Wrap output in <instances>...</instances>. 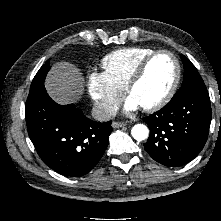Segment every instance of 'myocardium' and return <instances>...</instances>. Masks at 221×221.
I'll use <instances>...</instances> for the list:
<instances>
[{
  "label": "myocardium",
  "mask_w": 221,
  "mask_h": 221,
  "mask_svg": "<svg viewBox=\"0 0 221 221\" xmlns=\"http://www.w3.org/2000/svg\"><path fill=\"white\" fill-rule=\"evenodd\" d=\"M160 54H168L169 56H171V58L174 61L175 64V75L173 78V81L169 87V89L167 90V92L156 102L148 104V105H144L142 106V108L145 111H156L161 109L162 107H164L174 96L180 79H181V64L179 59L177 58V56L170 50L167 49H159V50H155L152 53H150L149 55H147L137 66V68L135 69L132 77L130 78L127 86H126V93L127 95L131 96L132 91L134 90L135 86L142 80V78L144 77L146 70L149 66V64L151 63V61L157 57Z\"/></svg>",
  "instance_id": "myocardium-1"
}]
</instances>
